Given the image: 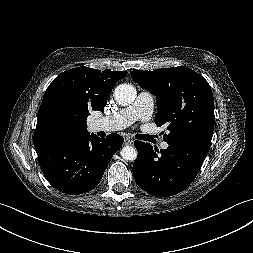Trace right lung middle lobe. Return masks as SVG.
Instances as JSON below:
<instances>
[{
	"instance_id": "obj_1",
	"label": "right lung middle lobe",
	"mask_w": 253,
	"mask_h": 253,
	"mask_svg": "<svg viewBox=\"0 0 253 253\" xmlns=\"http://www.w3.org/2000/svg\"><path fill=\"white\" fill-rule=\"evenodd\" d=\"M65 121V116L60 111H54L52 114V122L56 125H60Z\"/></svg>"
}]
</instances>
